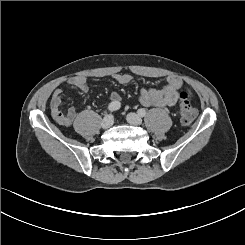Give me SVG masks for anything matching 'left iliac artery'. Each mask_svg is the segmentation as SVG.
<instances>
[{
	"mask_svg": "<svg viewBox=\"0 0 245 245\" xmlns=\"http://www.w3.org/2000/svg\"><path fill=\"white\" fill-rule=\"evenodd\" d=\"M138 114H139L141 117H144V116L146 115L145 109H143V108L138 109Z\"/></svg>",
	"mask_w": 245,
	"mask_h": 245,
	"instance_id": "left-iliac-artery-1",
	"label": "left iliac artery"
}]
</instances>
